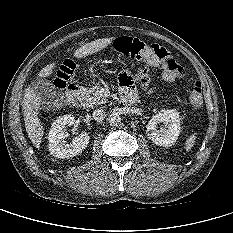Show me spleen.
<instances>
[{
    "mask_svg": "<svg viewBox=\"0 0 233 233\" xmlns=\"http://www.w3.org/2000/svg\"><path fill=\"white\" fill-rule=\"evenodd\" d=\"M196 135L193 134L191 136H189L187 139H186V143H185V149L186 151H189L192 149V147L194 146L195 142H196Z\"/></svg>",
    "mask_w": 233,
    "mask_h": 233,
    "instance_id": "3e777b00",
    "label": "spleen"
}]
</instances>
